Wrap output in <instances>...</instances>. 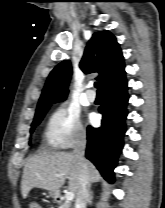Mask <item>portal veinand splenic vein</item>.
Masks as SVG:
<instances>
[{
  "mask_svg": "<svg viewBox=\"0 0 165 208\" xmlns=\"http://www.w3.org/2000/svg\"><path fill=\"white\" fill-rule=\"evenodd\" d=\"M55 176H56V177H59L60 175H59V174H56ZM73 199H74V193H73V192L69 191V192H67V193L65 194V200H66L67 202H71Z\"/></svg>",
  "mask_w": 165,
  "mask_h": 208,
  "instance_id": "1",
  "label": "portal vein and splenic vein"
}]
</instances>
